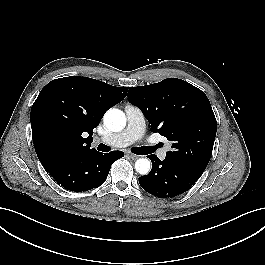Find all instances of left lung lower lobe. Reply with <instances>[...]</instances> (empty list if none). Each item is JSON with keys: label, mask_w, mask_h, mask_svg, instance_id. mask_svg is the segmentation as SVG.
<instances>
[{"label": "left lung lower lobe", "mask_w": 265, "mask_h": 265, "mask_svg": "<svg viewBox=\"0 0 265 265\" xmlns=\"http://www.w3.org/2000/svg\"><path fill=\"white\" fill-rule=\"evenodd\" d=\"M148 158L152 161V170L148 175L139 177V183L145 191L159 198L182 194L201 177L182 166L160 161L156 155H149Z\"/></svg>", "instance_id": "obj_1"}]
</instances>
